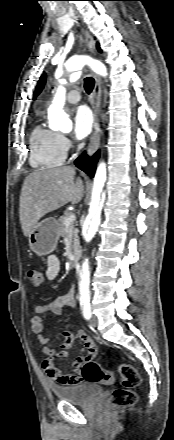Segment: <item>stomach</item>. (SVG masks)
I'll list each match as a JSON object with an SVG mask.
<instances>
[{"label":"stomach","instance_id":"1","mask_svg":"<svg viewBox=\"0 0 174 440\" xmlns=\"http://www.w3.org/2000/svg\"><path fill=\"white\" fill-rule=\"evenodd\" d=\"M59 236L58 222L54 218H46L37 223L28 235L29 247L38 256L48 255L55 250Z\"/></svg>","mask_w":174,"mask_h":440}]
</instances>
